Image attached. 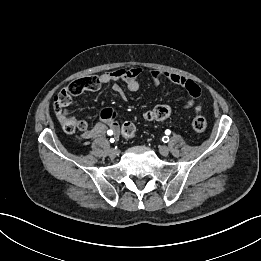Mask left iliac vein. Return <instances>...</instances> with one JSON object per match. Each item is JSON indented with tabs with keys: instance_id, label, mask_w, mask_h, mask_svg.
<instances>
[{
	"instance_id": "1",
	"label": "left iliac vein",
	"mask_w": 261,
	"mask_h": 261,
	"mask_svg": "<svg viewBox=\"0 0 261 261\" xmlns=\"http://www.w3.org/2000/svg\"><path fill=\"white\" fill-rule=\"evenodd\" d=\"M159 152L161 155L167 156L169 154V148L167 146H161Z\"/></svg>"
}]
</instances>
